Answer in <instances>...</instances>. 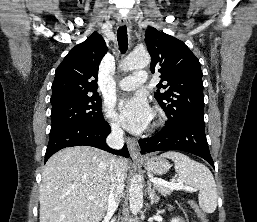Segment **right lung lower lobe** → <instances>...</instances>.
<instances>
[{
  "label": "right lung lower lobe",
  "instance_id": "98d812e1",
  "mask_svg": "<svg viewBox=\"0 0 257 222\" xmlns=\"http://www.w3.org/2000/svg\"><path fill=\"white\" fill-rule=\"evenodd\" d=\"M110 132V126L105 121L98 125L72 124L51 130L45 162L60 149L79 145L96 147L128 158L129 152L126 145L121 150H113L108 147L106 137Z\"/></svg>",
  "mask_w": 257,
  "mask_h": 222
}]
</instances>
